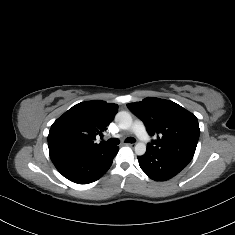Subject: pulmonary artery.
Listing matches in <instances>:
<instances>
[{
  "label": "pulmonary artery",
  "mask_w": 235,
  "mask_h": 235,
  "mask_svg": "<svg viewBox=\"0 0 235 235\" xmlns=\"http://www.w3.org/2000/svg\"><path fill=\"white\" fill-rule=\"evenodd\" d=\"M131 133L136 134L139 140L143 143L148 142L151 138L150 133L145 130L143 123L140 121H136L134 123V126L131 128Z\"/></svg>",
  "instance_id": "1"
}]
</instances>
